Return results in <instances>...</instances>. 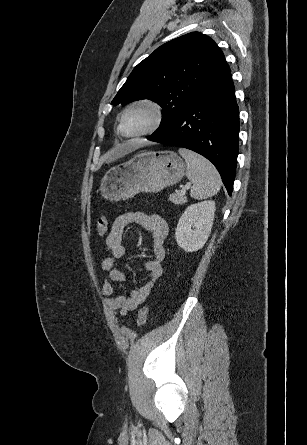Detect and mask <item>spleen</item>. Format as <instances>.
Instances as JSON below:
<instances>
[{
    "label": "spleen",
    "mask_w": 307,
    "mask_h": 445,
    "mask_svg": "<svg viewBox=\"0 0 307 445\" xmlns=\"http://www.w3.org/2000/svg\"><path fill=\"white\" fill-rule=\"evenodd\" d=\"M178 152L185 158L186 176L193 184L190 190L192 198L202 200V198H209V196L217 194L222 180L214 164L188 148H179Z\"/></svg>",
    "instance_id": "3e777b00"
}]
</instances>
